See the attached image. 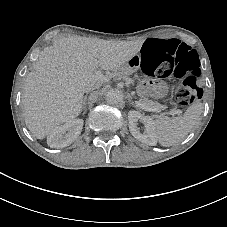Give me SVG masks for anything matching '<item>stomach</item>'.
<instances>
[{"mask_svg": "<svg viewBox=\"0 0 227 227\" xmlns=\"http://www.w3.org/2000/svg\"><path fill=\"white\" fill-rule=\"evenodd\" d=\"M154 78L147 77L139 80L137 84V94L141 97H150L152 95V81ZM151 82V83H150Z\"/></svg>", "mask_w": 227, "mask_h": 227, "instance_id": "1", "label": "stomach"}]
</instances>
